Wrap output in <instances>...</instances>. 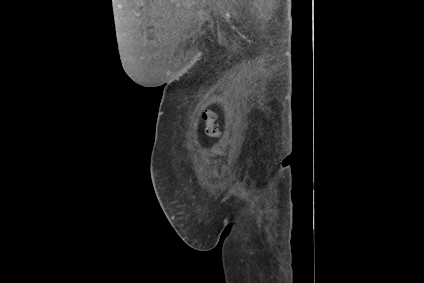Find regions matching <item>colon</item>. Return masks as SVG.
Returning <instances> with one entry per match:
<instances>
[{
  "instance_id": "colon-1",
  "label": "colon",
  "mask_w": 424,
  "mask_h": 283,
  "mask_svg": "<svg viewBox=\"0 0 424 283\" xmlns=\"http://www.w3.org/2000/svg\"><path fill=\"white\" fill-rule=\"evenodd\" d=\"M203 120L206 123L205 132L208 136L211 137H219L221 135V131L216 124V114L215 112L208 110L203 114Z\"/></svg>"
}]
</instances>
